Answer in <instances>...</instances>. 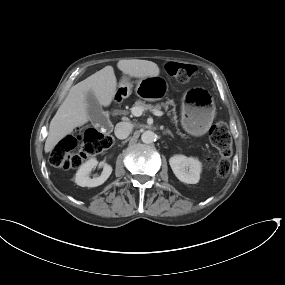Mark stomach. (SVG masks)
I'll return each mask as SVG.
<instances>
[{
    "instance_id": "1",
    "label": "stomach",
    "mask_w": 285,
    "mask_h": 285,
    "mask_svg": "<svg viewBox=\"0 0 285 285\" xmlns=\"http://www.w3.org/2000/svg\"><path fill=\"white\" fill-rule=\"evenodd\" d=\"M160 82H163V79L159 76L142 79L137 85V94L146 100H154L145 93L143 88L144 85ZM120 87L126 88L130 92L132 84L128 78L123 77ZM214 116V102L205 90L192 89L184 94L182 98L181 125L187 133L193 136L204 135L209 130Z\"/></svg>"
}]
</instances>
